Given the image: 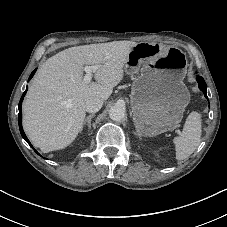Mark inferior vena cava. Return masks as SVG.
Listing matches in <instances>:
<instances>
[{"label": "inferior vena cava", "instance_id": "602c4592", "mask_svg": "<svg viewBox=\"0 0 227 227\" xmlns=\"http://www.w3.org/2000/svg\"><path fill=\"white\" fill-rule=\"evenodd\" d=\"M103 105V100L100 98H91L85 103V110L89 113L98 112Z\"/></svg>", "mask_w": 227, "mask_h": 227}]
</instances>
